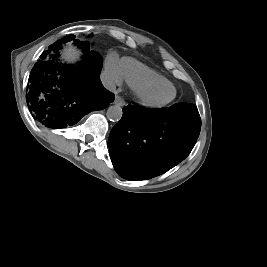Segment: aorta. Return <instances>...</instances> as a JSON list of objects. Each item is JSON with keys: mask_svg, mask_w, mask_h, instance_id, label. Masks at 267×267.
<instances>
[{"mask_svg": "<svg viewBox=\"0 0 267 267\" xmlns=\"http://www.w3.org/2000/svg\"><path fill=\"white\" fill-rule=\"evenodd\" d=\"M122 108L118 105L110 106L107 109L106 116L110 121L118 122L122 118Z\"/></svg>", "mask_w": 267, "mask_h": 267, "instance_id": "aorta-1", "label": "aorta"}]
</instances>
